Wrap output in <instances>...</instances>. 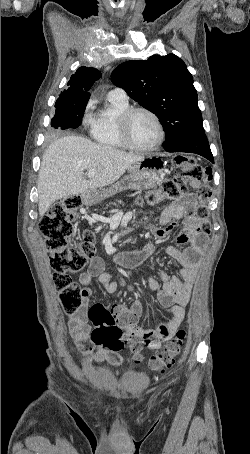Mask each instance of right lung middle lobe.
<instances>
[{"instance_id":"1","label":"right lung middle lobe","mask_w":250,"mask_h":454,"mask_svg":"<svg viewBox=\"0 0 250 454\" xmlns=\"http://www.w3.org/2000/svg\"><path fill=\"white\" fill-rule=\"evenodd\" d=\"M86 105L87 102L65 103L56 101V111L51 120V126L56 129L77 128L82 121Z\"/></svg>"}]
</instances>
